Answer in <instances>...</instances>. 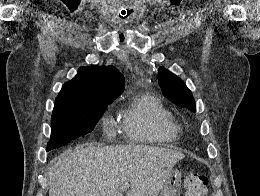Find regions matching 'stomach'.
I'll use <instances>...</instances> for the list:
<instances>
[{"label": "stomach", "instance_id": "obj_1", "mask_svg": "<svg viewBox=\"0 0 260 196\" xmlns=\"http://www.w3.org/2000/svg\"><path fill=\"white\" fill-rule=\"evenodd\" d=\"M181 172L171 170V174L166 180L163 190H160V196H180Z\"/></svg>", "mask_w": 260, "mask_h": 196}]
</instances>
